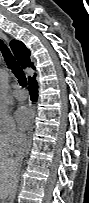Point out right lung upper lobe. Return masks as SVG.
Here are the masks:
<instances>
[{
	"mask_svg": "<svg viewBox=\"0 0 89 203\" xmlns=\"http://www.w3.org/2000/svg\"><path fill=\"white\" fill-rule=\"evenodd\" d=\"M10 46L22 67H32L35 70V67L30 60V51L21 41L12 40Z\"/></svg>",
	"mask_w": 89,
	"mask_h": 203,
	"instance_id": "cb5924a9",
	"label": "right lung upper lobe"
}]
</instances>
